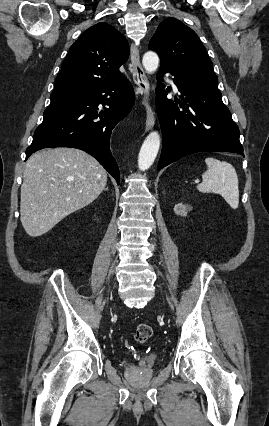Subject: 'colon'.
<instances>
[{
  "label": "colon",
  "instance_id": "obj_1",
  "mask_svg": "<svg viewBox=\"0 0 269 426\" xmlns=\"http://www.w3.org/2000/svg\"><path fill=\"white\" fill-rule=\"evenodd\" d=\"M152 336V328L147 324H139L135 327L134 338L137 342L144 343Z\"/></svg>",
  "mask_w": 269,
  "mask_h": 426
}]
</instances>
